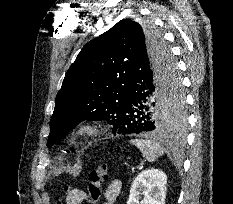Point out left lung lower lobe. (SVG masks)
<instances>
[{
	"instance_id": "1",
	"label": "left lung lower lobe",
	"mask_w": 233,
	"mask_h": 204,
	"mask_svg": "<svg viewBox=\"0 0 233 204\" xmlns=\"http://www.w3.org/2000/svg\"><path fill=\"white\" fill-rule=\"evenodd\" d=\"M163 54L152 56L149 49H140L131 69L128 90L119 110L117 134H140L161 131L158 121L160 103L166 100L180 80L176 65L170 77L162 70ZM183 124L168 131L181 134Z\"/></svg>"
}]
</instances>
